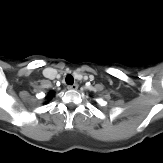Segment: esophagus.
Masks as SVG:
<instances>
[{"mask_svg": "<svg viewBox=\"0 0 163 163\" xmlns=\"http://www.w3.org/2000/svg\"><path fill=\"white\" fill-rule=\"evenodd\" d=\"M67 88H68L69 90H77L78 84L69 85Z\"/></svg>", "mask_w": 163, "mask_h": 163, "instance_id": "34e87169", "label": "esophagus"}]
</instances>
